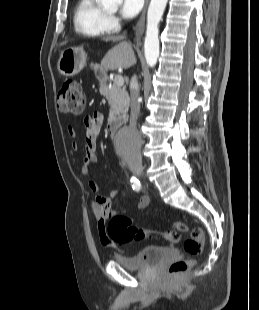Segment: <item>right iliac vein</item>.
<instances>
[{
	"label": "right iliac vein",
	"mask_w": 259,
	"mask_h": 310,
	"mask_svg": "<svg viewBox=\"0 0 259 310\" xmlns=\"http://www.w3.org/2000/svg\"><path fill=\"white\" fill-rule=\"evenodd\" d=\"M131 170L137 175V176H143V167L141 164H135L131 166Z\"/></svg>",
	"instance_id": "1"
}]
</instances>
